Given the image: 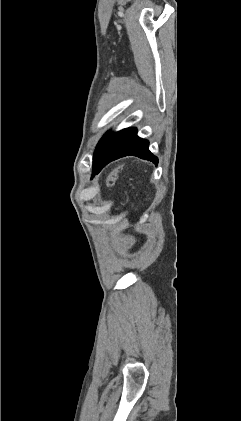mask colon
<instances>
[{"label":"colon","mask_w":241,"mask_h":421,"mask_svg":"<svg viewBox=\"0 0 241 421\" xmlns=\"http://www.w3.org/2000/svg\"><path fill=\"white\" fill-rule=\"evenodd\" d=\"M120 170H121V168L119 167V168H116V169H114L113 171L110 172V174L108 175V178H107L108 186L114 185L115 181L118 178V174H119Z\"/></svg>","instance_id":"colon-1"}]
</instances>
